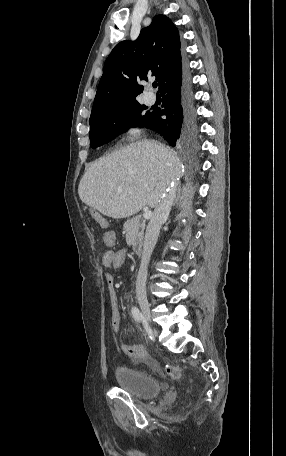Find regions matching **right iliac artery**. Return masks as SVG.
Wrapping results in <instances>:
<instances>
[{
	"label": "right iliac artery",
	"mask_w": 286,
	"mask_h": 456,
	"mask_svg": "<svg viewBox=\"0 0 286 456\" xmlns=\"http://www.w3.org/2000/svg\"><path fill=\"white\" fill-rule=\"evenodd\" d=\"M132 316L137 322H141L143 319L142 313L137 307H132L131 309Z\"/></svg>",
	"instance_id": "1"
}]
</instances>
